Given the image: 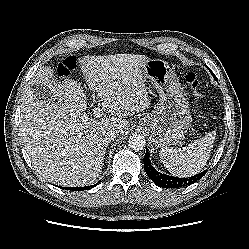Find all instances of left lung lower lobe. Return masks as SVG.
I'll use <instances>...</instances> for the list:
<instances>
[{
	"mask_svg": "<svg viewBox=\"0 0 249 249\" xmlns=\"http://www.w3.org/2000/svg\"><path fill=\"white\" fill-rule=\"evenodd\" d=\"M144 169L149 178L158 186L163 188H179L191 185L197 180L201 179L206 171H203L197 175L188 178H178L172 177L169 175L162 174L156 171L149 160V151L146 149L145 157H144Z\"/></svg>",
	"mask_w": 249,
	"mask_h": 249,
	"instance_id": "left-lung-lower-lobe-1",
	"label": "left lung lower lobe"
}]
</instances>
